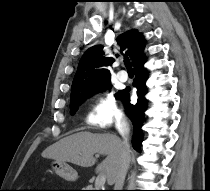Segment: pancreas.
I'll use <instances>...</instances> for the list:
<instances>
[{
    "instance_id": "cf45deb5",
    "label": "pancreas",
    "mask_w": 210,
    "mask_h": 191,
    "mask_svg": "<svg viewBox=\"0 0 210 191\" xmlns=\"http://www.w3.org/2000/svg\"><path fill=\"white\" fill-rule=\"evenodd\" d=\"M87 189H92L91 187H88Z\"/></svg>"
}]
</instances>
